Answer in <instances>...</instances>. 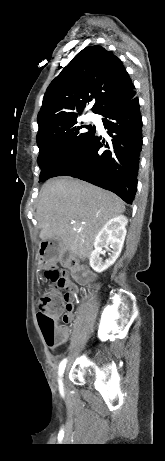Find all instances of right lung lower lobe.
Instances as JSON below:
<instances>
[{"label":"right lung lower lobe","mask_w":165,"mask_h":461,"mask_svg":"<svg viewBox=\"0 0 165 461\" xmlns=\"http://www.w3.org/2000/svg\"><path fill=\"white\" fill-rule=\"evenodd\" d=\"M111 141L96 135L52 177L72 176L112 191L131 204L137 188V174L142 149V120L139 100L129 101L102 114ZM106 150H102V147Z\"/></svg>","instance_id":"right-lung-lower-lobe-1"}]
</instances>
